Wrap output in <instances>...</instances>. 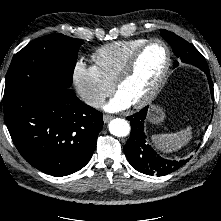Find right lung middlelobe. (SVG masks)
<instances>
[{"label": "right lung middle lobe", "instance_id": "right-lung-middle-lobe-1", "mask_svg": "<svg viewBox=\"0 0 221 221\" xmlns=\"http://www.w3.org/2000/svg\"><path fill=\"white\" fill-rule=\"evenodd\" d=\"M83 43L81 39L59 33L30 42L14 56L4 94L15 91L36 93L48 83L69 88L77 53Z\"/></svg>", "mask_w": 221, "mask_h": 221}]
</instances>
